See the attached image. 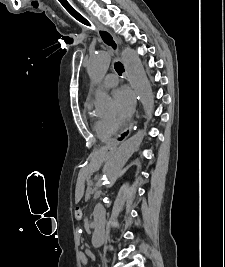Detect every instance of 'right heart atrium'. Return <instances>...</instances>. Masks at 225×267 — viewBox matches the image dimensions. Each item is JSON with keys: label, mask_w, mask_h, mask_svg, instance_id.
Returning <instances> with one entry per match:
<instances>
[{"label": "right heart atrium", "mask_w": 225, "mask_h": 267, "mask_svg": "<svg viewBox=\"0 0 225 267\" xmlns=\"http://www.w3.org/2000/svg\"><path fill=\"white\" fill-rule=\"evenodd\" d=\"M105 124H106L107 129L111 133H114L118 128L117 124L113 120H105Z\"/></svg>", "instance_id": "d8ad5b80"}]
</instances>
